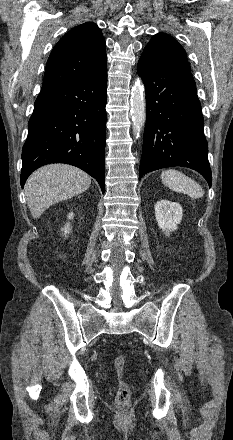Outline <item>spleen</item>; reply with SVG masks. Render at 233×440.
<instances>
[{
    "label": "spleen",
    "mask_w": 233,
    "mask_h": 440,
    "mask_svg": "<svg viewBox=\"0 0 233 440\" xmlns=\"http://www.w3.org/2000/svg\"><path fill=\"white\" fill-rule=\"evenodd\" d=\"M161 180L165 186L173 191L185 193L193 199H199L204 195V190L196 181L178 170L162 171Z\"/></svg>",
    "instance_id": "1"
}]
</instances>
